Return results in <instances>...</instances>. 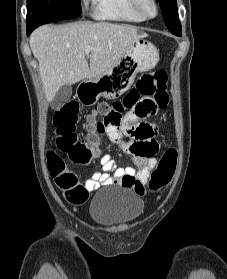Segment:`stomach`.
Returning <instances> with one entry per match:
<instances>
[{
	"label": "stomach",
	"mask_w": 227,
	"mask_h": 279,
	"mask_svg": "<svg viewBox=\"0 0 227 279\" xmlns=\"http://www.w3.org/2000/svg\"><path fill=\"white\" fill-rule=\"evenodd\" d=\"M146 34L133 41L117 63L96 78L83 80L78 87V99L84 105H94L100 97L115 99L133 84L136 74L148 71L159 61L157 48L145 40Z\"/></svg>",
	"instance_id": "stomach-1"
}]
</instances>
